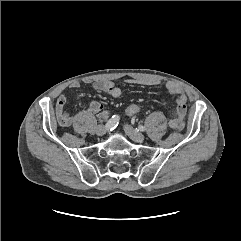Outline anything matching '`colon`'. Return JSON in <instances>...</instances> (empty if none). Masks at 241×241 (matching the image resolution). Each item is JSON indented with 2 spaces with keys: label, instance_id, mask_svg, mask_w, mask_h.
I'll list each match as a JSON object with an SVG mask.
<instances>
[{
  "label": "colon",
  "instance_id": "colon-1",
  "mask_svg": "<svg viewBox=\"0 0 241 241\" xmlns=\"http://www.w3.org/2000/svg\"><path fill=\"white\" fill-rule=\"evenodd\" d=\"M140 112V107L137 104H131L126 108V114L128 116H135ZM184 127V123L181 122L176 126V129L181 130Z\"/></svg>",
  "mask_w": 241,
  "mask_h": 241
}]
</instances>
